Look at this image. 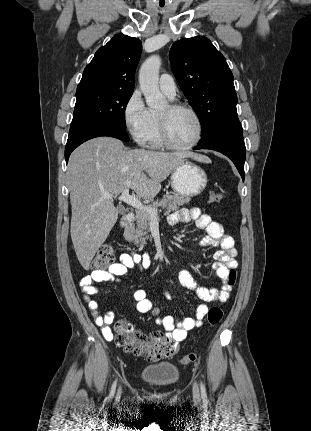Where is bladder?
Returning <instances> with one entry per match:
<instances>
[{
    "mask_svg": "<svg viewBox=\"0 0 311 431\" xmlns=\"http://www.w3.org/2000/svg\"><path fill=\"white\" fill-rule=\"evenodd\" d=\"M140 377L150 385L167 388L178 382L180 373L174 364L162 362L145 366Z\"/></svg>",
    "mask_w": 311,
    "mask_h": 431,
    "instance_id": "bladder-1",
    "label": "bladder"
}]
</instances>
